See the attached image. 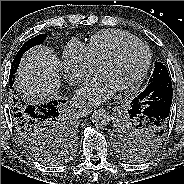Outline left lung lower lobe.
I'll return each mask as SVG.
<instances>
[{"instance_id": "obj_1", "label": "left lung lower lobe", "mask_w": 184, "mask_h": 184, "mask_svg": "<svg viewBox=\"0 0 184 184\" xmlns=\"http://www.w3.org/2000/svg\"><path fill=\"white\" fill-rule=\"evenodd\" d=\"M172 92L170 78L155 80L132 100L129 112L145 126L151 127L156 136H160L167 130L165 124L169 125Z\"/></svg>"}]
</instances>
